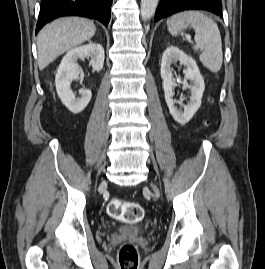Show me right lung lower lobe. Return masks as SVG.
I'll return each mask as SVG.
<instances>
[{"label": "right lung lower lobe", "instance_id": "1", "mask_svg": "<svg viewBox=\"0 0 265 269\" xmlns=\"http://www.w3.org/2000/svg\"><path fill=\"white\" fill-rule=\"evenodd\" d=\"M112 0H41L36 33L51 20L61 16H83L108 25Z\"/></svg>", "mask_w": 265, "mask_h": 269}]
</instances>
